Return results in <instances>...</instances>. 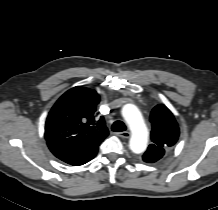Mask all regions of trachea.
I'll list each match as a JSON object with an SVG mask.
<instances>
[{
    "label": "trachea",
    "instance_id": "obj_1",
    "mask_svg": "<svg viewBox=\"0 0 218 210\" xmlns=\"http://www.w3.org/2000/svg\"><path fill=\"white\" fill-rule=\"evenodd\" d=\"M125 130H126V126L120 120L115 121L112 125V131H114V132H123Z\"/></svg>",
    "mask_w": 218,
    "mask_h": 210
}]
</instances>
